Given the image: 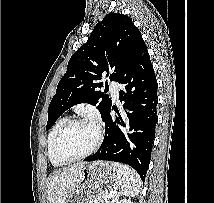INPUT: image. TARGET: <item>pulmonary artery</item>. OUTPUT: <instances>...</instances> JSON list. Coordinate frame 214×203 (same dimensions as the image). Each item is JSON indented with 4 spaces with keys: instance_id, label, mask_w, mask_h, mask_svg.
<instances>
[{
    "instance_id": "1",
    "label": "pulmonary artery",
    "mask_w": 214,
    "mask_h": 203,
    "mask_svg": "<svg viewBox=\"0 0 214 203\" xmlns=\"http://www.w3.org/2000/svg\"><path fill=\"white\" fill-rule=\"evenodd\" d=\"M109 88L113 99L117 101L119 99V90H120L119 84L114 81H111L109 82Z\"/></svg>"
}]
</instances>
